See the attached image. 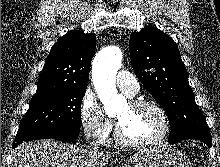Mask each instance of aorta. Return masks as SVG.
<instances>
[{
	"mask_svg": "<svg viewBox=\"0 0 220 167\" xmlns=\"http://www.w3.org/2000/svg\"><path fill=\"white\" fill-rule=\"evenodd\" d=\"M122 52L116 46L101 50L93 61L92 78L100 101L107 115L116 114L125 98L117 93L116 74L121 67Z\"/></svg>",
	"mask_w": 220,
	"mask_h": 167,
	"instance_id": "aorta-1",
	"label": "aorta"
}]
</instances>
